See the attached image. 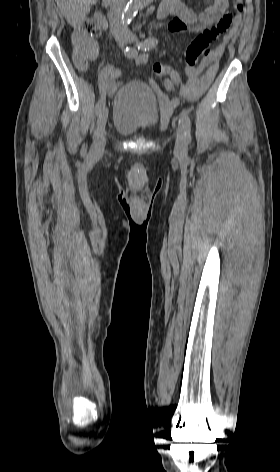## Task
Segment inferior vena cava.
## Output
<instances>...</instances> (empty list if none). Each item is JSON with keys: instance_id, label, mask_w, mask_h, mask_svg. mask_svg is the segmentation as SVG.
<instances>
[{"instance_id": "1", "label": "inferior vena cava", "mask_w": 280, "mask_h": 472, "mask_svg": "<svg viewBox=\"0 0 280 472\" xmlns=\"http://www.w3.org/2000/svg\"><path fill=\"white\" fill-rule=\"evenodd\" d=\"M127 0H112V5L109 13L110 26L113 33L122 29L121 16L123 14Z\"/></svg>"}]
</instances>
